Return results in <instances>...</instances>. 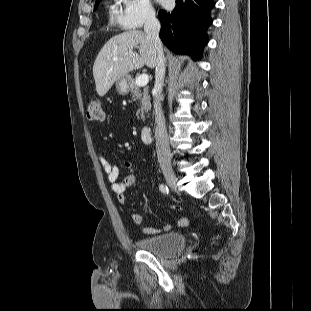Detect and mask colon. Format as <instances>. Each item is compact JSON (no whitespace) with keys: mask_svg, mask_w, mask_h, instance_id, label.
I'll use <instances>...</instances> for the list:
<instances>
[{"mask_svg":"<svg viewBox=\"0 0 311 311\" xmlns=\"http://www.w3.org/2000/svg\"><path fill=\"white\" fill-rule=\"evenodd\" d=\"M87 118L90 121H102L104 118V112L102 103L99 99H91L87 106Z\"/></svg>","mask_w":311,"mask_h":311,"instance_id":"1","label":"colon"}]
</instances>
